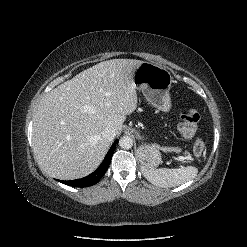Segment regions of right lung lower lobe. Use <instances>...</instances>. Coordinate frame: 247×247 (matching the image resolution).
Masks as SVG:
<instances>
[{
    "label": "right lung lower lobe",
    "mask_w": 247,
    "mask_h": 247,
    "mask_svg": "<svg viewBox=\"0 0 247 247\" xmlns=\"http://www.w3.org/2000/svg\"><path fill=\"white\" fill-rule=\"evenodd\" d=\"M116 143L117 140L111 146L110 150L108 151L101 165L93 173L81 179L71 180V181L61 180L60 182L73 187H88L98 183L109 167L112 155L116 147Z\"/></svg>",
    "instance_id": "98d812e1"
}]
</instances>
